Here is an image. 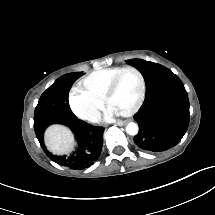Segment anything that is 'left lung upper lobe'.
Wrapping results in <instances>:
<instances>
[{
    "mask_svg": "<svg viewBox=\"0 0 215 215\" xmlns=\"http://www.w3.org/2000/svg\"><path fill=\"white\" fill-rule=\"evenodd\" d=\"M143 75L146 98L134 116L139 124L135 144L142 150L166 151L176 146L189 125L188 95L181 80L169 69L143 60H130Z\"/></svg>",
    "mask_w": 215,
    "mask_h": 215,
    "instance_id": "left-lung-upper-lobe-1",
    "label": "left lung upper lobe"
}]
</instances>
